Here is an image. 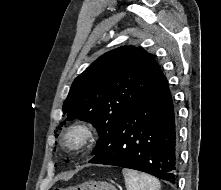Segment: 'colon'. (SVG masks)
Wrapping results in <instances>:
<instances>
[{"label":"colon","instance_id":"5ec220e1","mask_svg":"<svg viewBox=\"0 0 221 190\" xmlns=\"http://www.w3.org/2000/svg\"><path fill=\"white\" fill-rule=\"evenodd\" d=\"M55 190H116V188L106 181H86L76 185L57 188Z\"/></svg>","mask_w":221,"mask_h":190}]
</instances>
